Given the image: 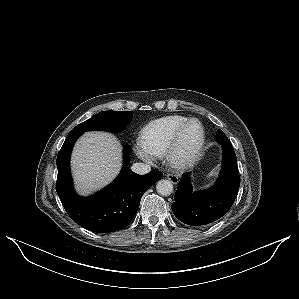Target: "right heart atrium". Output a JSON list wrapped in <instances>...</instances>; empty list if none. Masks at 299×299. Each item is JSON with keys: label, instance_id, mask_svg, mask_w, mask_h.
I'll use <instances>...</instances> for the list:
<instances>
[{"label": "right heart atrium", "instance_id": "1", "mask_svg": "<svg viewBox=\"0 0 299 299\" xmlns=\"http://www.w3.org/2000/svg\"><path fill=\"white\" fill-rule=\"evenodd\" d=\"M135 151L137 155L142 158L143 160H146L148 162L154 161V156L147 150L145 145L141 142L136 144Z\"/></svg>", "mask_w": 299, "mask_h": 299}]
</instances>
